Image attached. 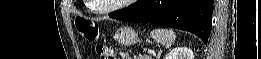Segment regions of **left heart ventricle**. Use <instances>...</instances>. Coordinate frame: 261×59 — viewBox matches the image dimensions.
Instances as JSON below:
<instances>
[{"label": "left heart ventricle", "instance_id": "obj_1", "mask_svg": "<svg viewBox=\"0 0 261 59\" xmlns=\"http://www.w3.org/2000/svg\"><path fill=\"white\" fill-rule=\"evenodd\" d=\"M122 2H124V1H122V0H95V1H93L95 6L98 8H101V9H106V8L112 7V6L122 3Z\"/></svg>", "mask_w": 261, "mask_h": 59}]
</instances>
